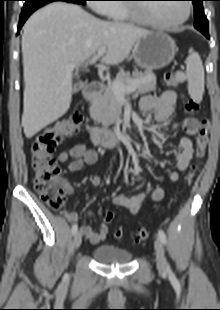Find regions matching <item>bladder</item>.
I'll use <instances>...</instances> for the list:
<instances>
[{
	"label": "bladder",
	"instance_id": "bladder-1",
	"mask_svg": "<svg viewBox=\"0 0 220 310\" xmlns=\"http://www.w3.org/2000/svg\"><path fill=\"white\" fill-rule=\"evenodd\" d=\"M92 257L101 264H126L132 259V253L116 245L106 244L92 250Z\"/></svg>",
	"mask_w": 220,
	"mask_h": 310
}]
</instances>
